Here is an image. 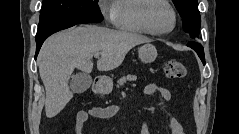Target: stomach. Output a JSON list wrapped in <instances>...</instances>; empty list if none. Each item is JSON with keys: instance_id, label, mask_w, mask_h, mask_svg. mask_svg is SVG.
<instances>
[{"instance_id": "0dacf381", "label": "stomach", "mask_w": 239, "mask_h": 134, "mask_svg": "<svg viewBox=\"0 0 239 134\" xmlns=\"http://www.w3.org/2000/svg\"><path fill=\"white\" fill-rule=\"evenodd\" d=\"M139 58L144 63H151L153 62L157 57V50L156 47L151 43H145L142 45L139 50ZM98 89L100 92L104 94H108L113 89V82L108 77H103L98 85Z\"/></svg>"}]
</instances>
